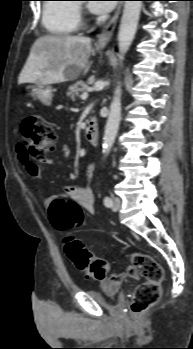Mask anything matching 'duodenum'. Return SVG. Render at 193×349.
I'll list each match as a JSON object with an SVG mask.
<instances>
[{
	"label": "duodenum",
	"mask_w": 193,
	"mask_h": 349,
	"mask_svg": "<svg viewBox=\"0 0 193 349\" xmlns=\"http://www.w3.org/2000/svg\"><path fill=\"white\" fill-rule=\"evenodd\" d=\"M85 138L87 143L96 147L98 144V124L96 118L92 117L88 120L85 128Z\"/></svg>",
	"instance_id": "duodenum-1"
}]
</instances>
